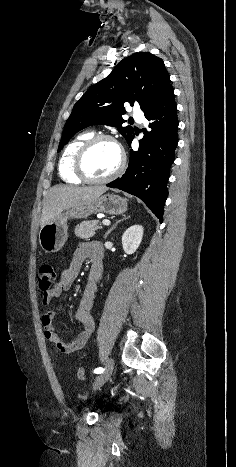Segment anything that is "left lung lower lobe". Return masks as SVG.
<instances>
[{"label": "left lung lower lobe", "instance_id": "left-lung-lower-lobe-1", "mask_svg": "<svg viewBox=\"0 0 236 467\" xmlns=\"http://www.w3.org/2000/svg\"><path fill=\"white\" fill-rule=\"evenodd\" d=\"M150 132L145 131L138 151H130L129 166L122 177L106 186L139 197L162 222L168 195L167 182L178 143L177 105L172 86L148 111ZM134 136L128 141L129 146Z\"/></svg>", "mask_w": 236, "mask_h": 467}]
</instances>
